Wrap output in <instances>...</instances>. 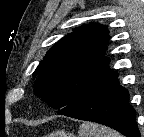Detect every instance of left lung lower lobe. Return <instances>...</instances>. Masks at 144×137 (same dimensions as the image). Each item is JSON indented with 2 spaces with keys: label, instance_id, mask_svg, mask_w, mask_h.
<instances>
[{
  "label": "left lung lower lobe",
  "instance_id": "0a47b994",
  "mask_svg": "<svg viewBox=\"0 0 144 137\" xmlns=\"http://www.w3.org/2000/svg\"><path fill=\"white\" fill-rule=\"evenodd\" d=\"M114 72L97 86L62 108L58 114L109 126L126 137H140L129 93Z\"/></svg>",
  "mask_w": 144,
  "mask_h": 137
}]
</instances>
